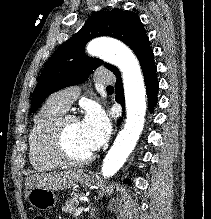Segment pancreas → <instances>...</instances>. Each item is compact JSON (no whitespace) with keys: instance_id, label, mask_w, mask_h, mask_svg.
Masks as SVG:
<instances>
[{"instance_id":"pancreas-1","label":"pancreas","mask_w":211,"mask_h":219,"mask_svg":"<svg viewBox=\"0 0 211 219\" xmlns=\"http://www.w3.org/2000/svg\"><path fill=\"white\" fill-rule=\"evenodd\" d=\"M81 194L74 195L71 199H68L62 206V211L66 213H72L75 211L76 207L79 205Z\"/></svg>"}]
</instances>
